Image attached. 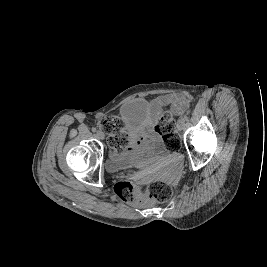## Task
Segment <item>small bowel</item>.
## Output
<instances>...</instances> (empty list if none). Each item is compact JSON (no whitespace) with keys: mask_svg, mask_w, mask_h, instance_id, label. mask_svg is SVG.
Wrapping results in <instances>:
<instances>
[{"mask_svg":"<svg viewBox=\"0 0 267 267\" xmlns=\"http://www.w3.org/2000/svg\"><path fill=\"white\" fill-rule=\"evenodd\" d=\"M164 106H171L175 112H182L188 106V98L181 95L176 96H161L155 99L152 103V110L150 116L143 123L136 124L130 128L129 134L130 137L138 142L150 141V142H159V137L154 131V126L156 120L161 113V109ZM149 167H153V164H144L141 166L143 169L138 174H132V178L139 179L142 177L144 171Z\"/></svg>","mask_w":267,"mask_h":267,"instance_id":"small-bowel-1","label":"small bowel"}]
</instances>
